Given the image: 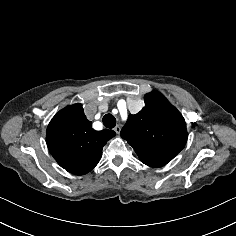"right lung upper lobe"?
Returning <instances> with one entry per match:
<instances>
[{
  "mask_svg": "<svg viewBox=\"0 0 236 236\" xmlns=\"http://www.w3.org/2000/svg\"><path fill=\"white\" fill-rule=\"evenodd\" d=\"M46 133L47 146L54 159L75 175L90 172L100 161L103 146L116 135L108 129L95 131L81 104L59 111Z\"/></svg>",
  "mask_w": 236,
  "mask_h": 236,
  "instance_id": "obj_1",
  "label": "right lung upper lobe"
}]
</instances>
